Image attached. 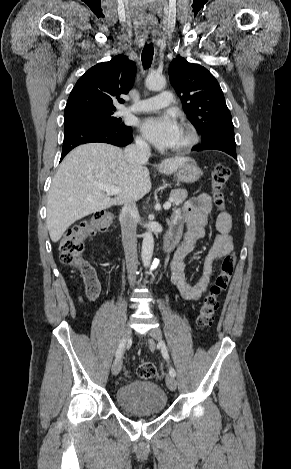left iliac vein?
<instances>
[{
  "instance_id": "1",
  "label": "left iliac vein",
  "mask_w": 291,
  "mask_h": 469,
  "mask_svg": "<svg viewBox=\"0 0 291 469\" xmlns=\"http://www.w3.org/2000/svg\"><path fill=\"white\" fill-rule=\"evenodd\" d=\"M149 336L152 339H154L158 342H160L162 340V333H161V330L159 328H154V329L150 330ZM166 385L171 391H174L176 389V386H177L176 379L171 375H167L166 376Z\"/></svg>"
}]
</instances>
